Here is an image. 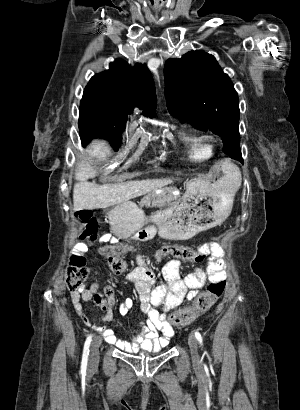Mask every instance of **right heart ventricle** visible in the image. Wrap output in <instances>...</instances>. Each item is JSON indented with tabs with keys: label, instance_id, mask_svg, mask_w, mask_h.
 <instances>
[{
	"label": "right heart ventricle",
	"instance_id": "obj_1",
	"mask_svg": "<svg viewBox=\"0 0 300 410\" xmlns=\"http://www.w3.org/2000/svg\"><path fill=\"white\" fill-rule=\"evenodd\" d=\"M181 138L187 147L189 158L193 160H203L213 154L212 137L206 133L183 130Z\"/></svg>",
	"mask_w": 300,
	"mask_h": 410
}]
</instances>
